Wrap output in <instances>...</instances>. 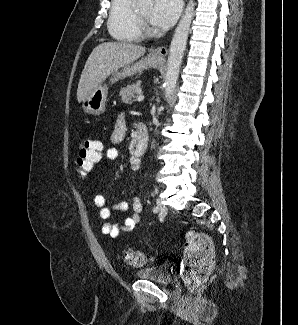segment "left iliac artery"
Listing matches in <instances>:
<instances>
[{"label": "left iliac artery", "mask_w": 298, "mask_h": 325, "mask_svg": "<svg viewBox=\"0 0 298 325\" xmlns=\"http://www.w3.org/2000/svg\"><path fill=\"white\" fill-rule=\"evenodd\" d=\"M153 212L154 213H157L158 212V208L156 206L153 208Z\"/></svg>", "instance_id": "left-iliac-artery-1"}]
</instances>
